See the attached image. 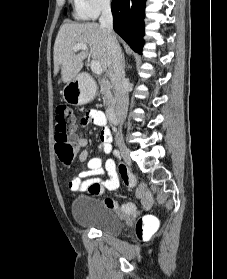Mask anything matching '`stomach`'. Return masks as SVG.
<instances>
[{
  "label": "stomach",
  "instance_id": "stomach-1",
  "mask_svg": "<svg viewBox=\"0 0 227 279\" xmlns=\"http://www.w3.org/2000/svg\"><path fill=\"white\" fill-rule=\"evenodd\" d=\"M96 92V85L91 80L83 83L79 78H73L64 86L62 95L67 103L77 106L91 101Z\"/></svg>",
  "mask_w": 227,
  "mask_h": 279
}]
</instances>
